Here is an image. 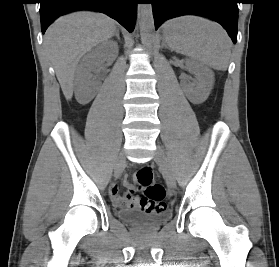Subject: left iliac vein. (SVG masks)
I'll return each mask as SVG.
<instances>
[{"mask_svg": "<svg viewBox=\"0 0 279 267\" xmlns=\"http://www.w3.org/2000/svg\"><path fill=\"white\" fill-rule=\"evenodd\" d=\"M156 163L160 166L162 173L166 179V183L170 189H174L176 186L174 172L171 165L165 155L163 149L158 146L154 157Z\"/></svg>", "mask_w": 279, "mask_h": 267, "instance_id": "left-iliac-vein-1", "label": "left iliac vein"}]
</instances>
